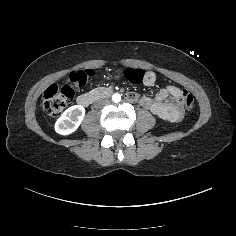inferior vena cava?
Listing matches in <instances>:
<instances>
[{
  "label": "inferior vena cava",
  "instance_id": "inferior-vena-cava-1",
  "mask_svg": "<svg viewBox=\"0 0 236 236\" xmlns=\"http://www.w3.org/2000/svg\"><path fill=\"white\" fill-rule=\"evenodd\" d=\"M108 104H109V100H107V99H99L94 102V106L96 108H101V107L108 105Z\"/></svg>",
  "mask_w": 236,
  "mask_h": 236
}]
</instances>
